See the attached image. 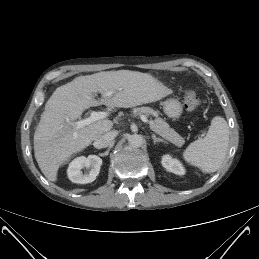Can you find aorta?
Returning a JSON list of instances; mask_svg holds the SVG:
<instances>
[{"instance_id":"762f6f07","label":"aorta","mask_w":259,"mask_h":259,"mask_svg":"<svg viewBox=\"0 0 259 259\" xmlns=\"http://www.w3.org/2000/svg\"><path fill=\"white\" fill-rule=\"evenodd\" d=\"M128 143H129L130 146L138 148V147L142 146L143 138L139 134H133V135L129 136Z\"/></svg>"}]
</instances>
